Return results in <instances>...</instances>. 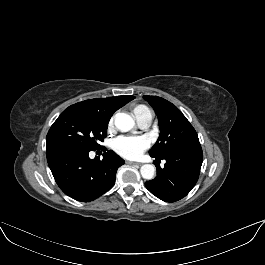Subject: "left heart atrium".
Wrapping results in <instances>:
<instances>
[{"label": "left heart atrium", "mask_w": 265, "mask_h": 265, "mask_svg": "<svg viewBox=\"0 0 265 265\" xmlns=\"http://www.w3.org/2000/svg\"><path fill=\"white\" fill-rule=\"evenodd\" d=\"M148 143L143 137H118L114 142L115 151L125 158H137L147 148Z\"/></svg>", "instance_id": "39dd6f15"}]
</instances>
